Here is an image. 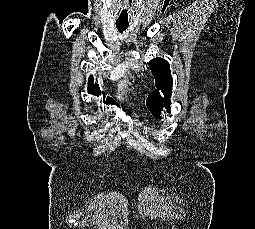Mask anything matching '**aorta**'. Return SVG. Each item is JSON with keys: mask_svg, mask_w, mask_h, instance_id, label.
Segmentation results:
<instances>
[{"mask_svg": "<svg viewBox=\"0 0 255 229\" xmlns=\"http://www.w3.org/2000/svg\"><path fill=\"white\" fill-rule=\"evenodd\" d=\"M123 86H124V85H123ZM119 88H120V90H122V86H121V85L119 86Z\"/></svg>", "mask_w": 255, "mask_h": 229, "instance_id": "762f6f07", "label": "aorta"}]
</instances>
